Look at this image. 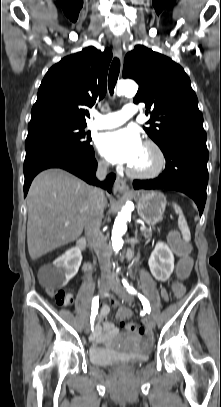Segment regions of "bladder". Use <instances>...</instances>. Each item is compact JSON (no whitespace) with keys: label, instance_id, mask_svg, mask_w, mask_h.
Instances as JSON below:
<instances>
[{"label":"bladder","instance_id":"obj_1","mask_svg":"<svg viewBox=\"0 0 221 407\" xmlns=\"http://www.w3.org/2000/svg\"><path fill=\"white\" fill-rule=\"evenodd\" d=\"M146 354L137 352L123 355L109 347L92 346L89 349V360L96 366H111L117 363H139L146 360Z\"/></svg>","mask_w":221,"mask_h":407}]
</instances>
